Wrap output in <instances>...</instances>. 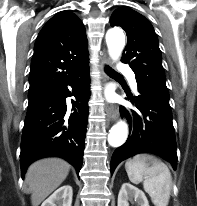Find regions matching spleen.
I'll return each mask as SVG.
<instances>
[{"label": "spleen", "instance_id": "obj_1", "mask_svg": "<svg viewBox=\"0 0 197 206\" xmlns=\"http://www.w3.org/2000/svg\"><path fill=\"white\" fill-rule=\"evenodd\" d=\"M129 180L143 183V188L155 206H167L172 188L169 168L161 160L150 155H136L125 163Z\"/></svg>", "mask_w": 197, "mask_h": 206}]
</instances>
